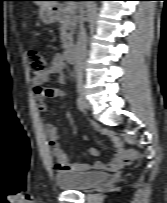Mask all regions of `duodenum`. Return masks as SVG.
Instances as JSON below:
<instances>
[{
  "instance_id": "duodenum-1",
  "label": "duodenum",
  "mask_w": 167,
  "mask_h": 203,
  "mask_svg": "<svg viewBox=\"0 0 167 203\" xmlns=\"http://www.w3.org/2000/svg\"><path fill=\"white\" fill-rule=\"evenodd\" d=\"M59 13V9L53 10V15L56 19L57 14ZM77 47L75 45H68L65 49L64 59L68 63H73L76 60Z\"/></svg>"
}]
</instances>
